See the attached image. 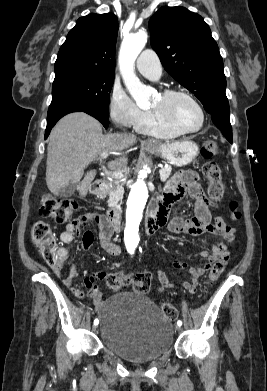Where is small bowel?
Returning <instances> with one entry per match:
<instances>
[{
    "instance_id": "c3829d8e",
    "label": "small bowel",
    "mask_w": 267,
    "mask_h": 391,
    "mask_svg": "<svg viewBox=\"0 0 267 391\" xmlns=\"http://www.w3.org/2000/svg\"><path fill=\"white\" fill-rule=\"evenodd\" d=\"M189 195L195 200V214L192 218L184 219L179 216L169 218L171 207L182 202L185 195ZM212 204L206 198L200 184L198 176L194 171L186 170L176 174L166 185L163 194L157 200V210L164 217L167 228L171 233L185 235H200L202 233H212L221 237L220 242L212 246L211 250L204 249L201 256L207 259V263L200 267L188 266L185 262L175 259L174 266L178 269H187L191 278L183 283L184 289L190 293H195L199 284V278L208 271L211 265L223 254L227 245L234 239V229L228 226L221 217L215 218L212 222ZM90 222H97L99 226V241L102 249L112 256L120 254V247L112 241L113 230L107 223L105 217L95 213L86 214L75 222L67 223L60 233L59 239L63 244L71 243L80 234L81 229ZM93 233L87 230L83 234L82 249L89 250L93 244ZM59 260L53 266L54 272L63 277L67 286H71L74 278L78 276L77 267L72 264L66 273L63 266L69 258V249L66 246L58 248ZM107 277L105 272H93L85 276L84 284L89 290L90 297L93 298L96 306L102 304V294L96 285L97 280ZM157 290L163 291L171 288L172 283L165 273L157 271L155 273ZM74 294L83 297L84 293L78 288H72Z\"/></svg>"
}]
</instances>
